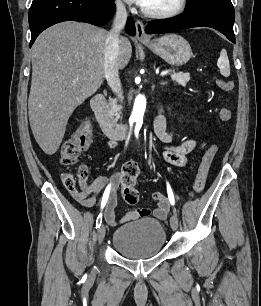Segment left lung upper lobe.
<instances>
[{
    "mask_svg": "<svg viewBox=\"0 0 261 306\" xmlns=\"http://www.w3.org/2000/svg\"><path fill=\"white\" fill-rule=\"evenodd\" d=\"M231 3V0H187L186 10H195L206 6Z\"/></svg>",
    "mask_w": 261,
    "mask_h": 306,
    "instance_id": "1",
    "label": "left lung upper lobe"
}]
</instances>
